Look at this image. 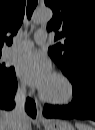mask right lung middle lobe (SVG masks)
<instances>
[{
    "instance_id": "right-lung-middle-lobe-1",
    "label": "right lung middle lobe",
    "mask_w": 95,
    "mask_h": 130,
    "mask_svg": "<svg viewBox=\"0 0 95 130\" xmlns=\"http://www.w3.org/2000/svg\"><path fill=\"white\" fill-rule=\"evenodd\" d=\"M1 56V54H0ZM14 68H6L5 64H0V79L6 78L9 76L11 73H13Z\"/></svg>"
}]
</instances>
